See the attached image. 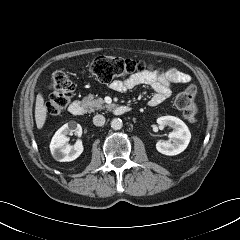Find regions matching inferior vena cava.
<instances>
[{"mask_svg":"<svg viewBox=\"0 0 240 240\" xmlns=\"http://www.w3.org/2000/svg\"><path fill=\"white\" fill-rule=\"evenodd\" d=\"M93 123L95 126H103L105 123V117L103 115H95L93 117Z\"/></svg>","mask_w":240,"mask_h":240,"instance_id":"1","label":"inferior vena cava"}]
</instances>
